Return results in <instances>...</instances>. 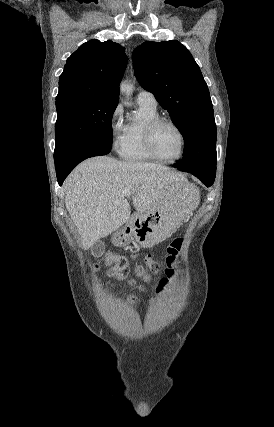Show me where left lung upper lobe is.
<instances>
[{"label": "left lung upper lobe", "instance_id": "1", "mask_svg": "<svg viewBox=\"0 0 274 427\" xmlns=\"http://www.w3.org/2000/svg\"><path fill=\"white\" fill-rule=\"evenodd\" d=\"M135 76L154 94L183 135V159L177 164L216 173V125L209 90L199 66L177 40L145 42L133 51Z\"/></svg>", "mask_w": 274, "mask_h": 427}]
</instances>
